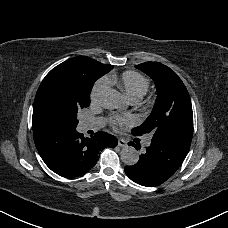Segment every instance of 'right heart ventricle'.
Returning <instances> with one entry per match:
<instances>
[{
	"label": "right heart ventricle",
	"instance_id": "1",
	"mask_svg": "<svg viewBox=\"0 0 228 228\" xmlns=\"http://www.w3.org/2000/svg\"><path fill=\"white\" fill-rule=\"evenodd\" d=\"M103 81L108 87H116L132 101L141 99L149 89V80L135 71H126L120 75L109 73L104 75ZM108 92L118 93L113 89H110Z\"/></svg>",
	"mask_w": 228,
	"mask_h": 228
}]
</instances>
